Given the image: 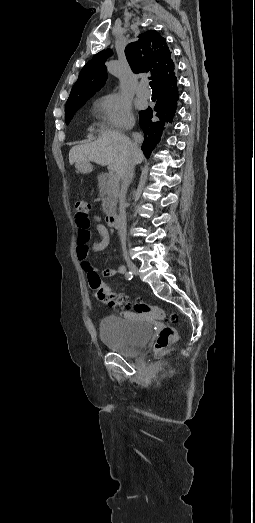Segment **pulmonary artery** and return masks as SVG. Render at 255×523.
I'll list each match as a JSON object with an SVG mask.
<instances>
[{
    "mask_svg": "<svg viewBox=\"0 0 255 523\" xmlns=\"http://www.w3.org/2000/svg\"><path fill=\"white\" fill-rule=\"evenodd\" d=\"M136 94L141 98H150L152 96V91L149 86V82L146 79H142L139 83L138 88L136 89Z\"/></svg>",
    "mask_w": 255,
    "mask_h": 523,
    "instance_id": "1",
    "label": "pulmonary artery"
}]
</instances>
